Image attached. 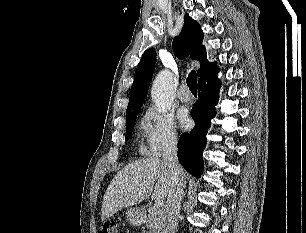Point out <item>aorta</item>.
<instances>
[{
    "instance_id": "aorta-1",
    "label": "aorta",
    "mask_w": 306,
    "mask_h": 233,
    "mask_svg": "<svg viewBox=\"0 0 306 233\" xmlns=\"http://www.w3.org/2000/svg\"><path fill=\"white\" fill-rule=\"evenodd\" d=\"M151 96L158 112H166L173 104V75L169 70H162L155 78Z\"/></svg>"
}]
</instances>
